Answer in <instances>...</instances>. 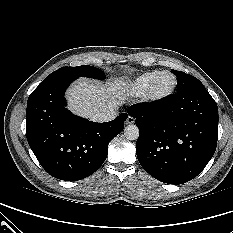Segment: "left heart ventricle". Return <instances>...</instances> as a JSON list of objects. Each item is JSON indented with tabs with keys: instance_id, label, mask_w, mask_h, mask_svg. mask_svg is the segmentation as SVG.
I'll return each instance as SVG.
<instances>
[{
	"instance_id": "b2bd125f",
	"label": "left heart ventricle",
	"mask_w": 233,
	"mask_h": 233,
	"mask_svg": "<svg viewBox=\"0 0 233 233\" xmlns=\"http://www.w3.org/2000/svg\"><path fill=\"white\" fill-rule=\"evenodd\" d=\"M173 84V78L170 75H163L157 81L154 87L156 93H163L167 91Z\"/></svg>"
}]
</instances>
